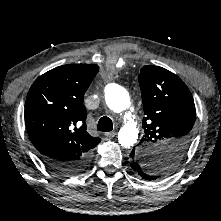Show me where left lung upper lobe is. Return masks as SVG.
<instances>
[{
    "mask_svg": "<svg viewBox=\"0 0 221 221\" xmlns=\"http://www.w3.org/2000/svg\"><path fill=\"white\" fill-rule=\"evenodd\" d=\"M138 79L145 117L137 153L150 176L147 180H154L170 173L185 157L196 110L188 87L172 72L146 65Z\"/></svg>",
    "mask_w": 221,
    "mask_h": 221,
    "instance_id": "left-lung-upper-lobe-1",
    "label": "left lung upper lobe"
}]
</instances>
